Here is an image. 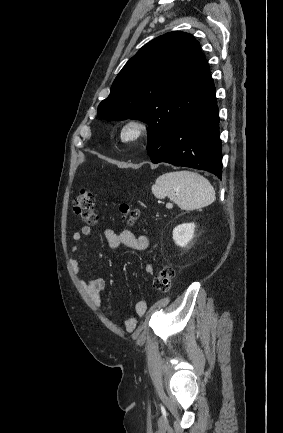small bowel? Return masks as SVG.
I'll return each instance as SVG.
<instances>
[{"label": "small bowel", "instance_id": "small-bowel-1", "mask_svg": "<svg viewBox=\"0 0 283 433\" xmlns=\"http://www.w3.org/2000/svg\"><path fill=\"white\" fill-rule=\"evenodd\" d=\"M92 233V229L90 226L85 225L81 227L78 231L74 232L73 245L71 248V265L76 274H79L81 271L78 260L75 255L79 248V244L83 238L89 237ZM105 240L110 248L116 249L120 246L124 245L136 251H144L149 246V240L145 235H134L133 232L129 229H123L119 233L112 229L105 230L104 233ZM154 266L153 264H146L145 272L146 274L152 276L154 274ZM79 284L86 291V293L90 296L96 306L101 305L102 301V293L106 286V281L103 278L97 279H79ZM136 314L138 317H141L145 314L147 310V303L144 300H140L136 303L135 306ZM138 317H129L124 321L125 328L132 332L136 329L138 325Z\"/></svg>", "mask_w": 283, "mask_h": 433}]
</instances>
